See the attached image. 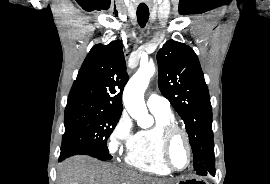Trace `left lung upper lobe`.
Here are the masks:
<instances>
[{
	"mask_svg": "<svg viewBox=\"0 0 270 184\" xmlns=\"http://www.w3.org/2000/svg\"><path fill=\"white\" fill-rule=\"evenodd\" d=\"M158 85L184 121L197 174L215 171L212 107L197 55L191 47L169 40L157 53Z\"/></svg>",
	"mask_w": 270,
	"mask_h": 184,
	"instance_id": "obj_1",
	"label": "left lung upper lobe"
}]
</instances>
